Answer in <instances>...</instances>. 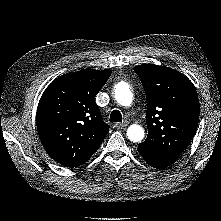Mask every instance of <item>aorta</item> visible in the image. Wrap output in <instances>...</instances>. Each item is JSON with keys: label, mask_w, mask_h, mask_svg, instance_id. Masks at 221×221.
I'll use <instances>...</instances> for the list:
<instances>
[{"label": "aorta", "mask_w": 221, "mask_h": 221, "mask_svg": "<svg viewBox=\"0 0 221 221\" xmlns=\"http://www.w3.org/2000/svg\"><path fill=\"white\" fill-rule=\"evenodd\" d=\"M115 100L122 106H130L133 101V94L126 83L119 84L114 93ZM144 129L137 124L127 129V137L132 142H140L144 138Z\"/></svg>", "instance_id": "1"}]
</instances>
